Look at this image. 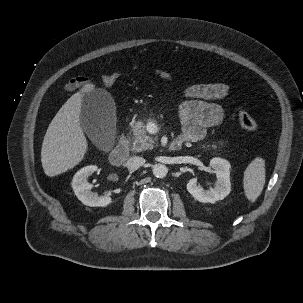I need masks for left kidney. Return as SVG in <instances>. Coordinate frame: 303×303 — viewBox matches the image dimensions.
Masks as SVG:
<instances>
[{"mask_svg": "<svg viewBox=\"0 0 303 303\" xmlns=\"http://www.w3.org/2000/svg\"><path fill=\"white\" fill-rule=\"evenodd\" d=\"M210 166L216 174L217 181L214 188L204 190L197 184V179L192 178L187 183L188 192L198 201L203 203H215L224 199L231 191L230 163L222 158H213Z\"/></svg>", "mask_w": 303, "mask_h": 303, "instance_id": "obj_1", "label": "left kidney"}]
</instances>
